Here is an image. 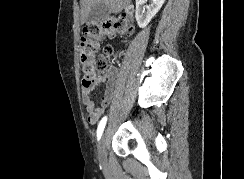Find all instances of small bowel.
Listing matches in <instances>:
<instances>
[{"mask_svg":"<svg viewBox=\"0 0 244 179\" xmlns=\"http://www.w3.org/2000/svg\"><path fill=\"white\" fill-rule=\"evenodd\" d=\"M117 76L118 69L115 67H111L106 71L104 76L106 87L99 105H96L92 98V90L84 89L82 91V102L88 112L89 123L95 124L114 99Z\"/></svg>","mask_w":244,"mask_h":179,"instance_id":"obj_1","label":"small bowel"}]
</instances>
